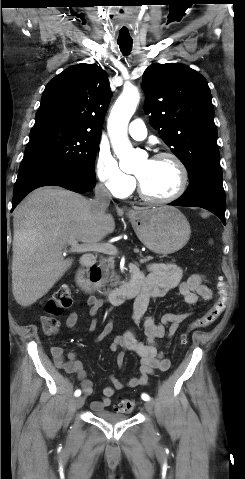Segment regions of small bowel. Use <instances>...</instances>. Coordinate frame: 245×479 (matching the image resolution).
<instances>
[{
  "label": "small bowel",
  "instance_id": "c3829d8e",
  "mask_svg": "<svg viewBox=\"0 0 245 479\" xmlns=\"http://www.w3.org/2000/svg\"><path fill=\"white\" fill-rule=\"evenodd\" d=\"M137 269L143 279V289L136 298L133 306L132 318L135 324L143 322L146 334V342L139 341L132 330H127L114 338L110 344V350L117 353L116 363L119 368L124 366L125 355L127 352L134 353L140 358V367L138 376L128 379L126 382L120 381L114 375L110 376L111 384L103 387L102 399L93 401L90 404L92 411L99 413L108 408L112 402V397L116 390L124 387L136 388L147 386L155 372H165L170 366V360L161 350L158 340L168 336L171 338L190 315V312L163 315L158 322L153 316L147 315L148 305L151 299L166 295L173 288H178L179 294L187 305H195L200 301L210 300L213 297L212 290L204 284V277L201 274H192L189 277H183L182 269L173 263H151L145 270H141L137 265L132 264L130 270ZM89 313L96 316L103 302L96 296H89L87 299ZM80 320V313L71 312L66 318V326L74 329ZM97 322L94 320L90 324V330L96 329ZM113 326L109 321L103 330L96 336L100 341L106 338L112 331ZM50 354L56 367L66 373L76 374L81 382L82 392L85 396L92 393V383L87 377V372L83 363L78 359L77 353L69 351L64 355V350L60 346L50 348Z\"/></svg>",
  "mask_w": 245,
  "mask_h": 479
}]
</instances>
